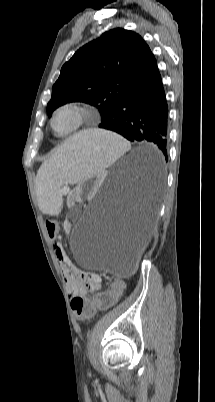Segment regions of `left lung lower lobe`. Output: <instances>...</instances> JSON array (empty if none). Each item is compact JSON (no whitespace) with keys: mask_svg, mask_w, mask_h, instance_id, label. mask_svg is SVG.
Here are the masks:
<instances>
[{"mask_svg":"<svg viewBox=\"0 0 215 402\" xmlns=\"http://www.w3.org/2000/svg\"><path fill=\"white\" fill-rule=\"evenodd\" d=\"M168 106L157 64L130 90L111 117L99 127L114 131L131 142L156 145L167 160ZM145 192L151 207L156 204V185Z\"/></svg>","mask_w":215,"mask_h":402,"instance_id":"1","label":"left lung lower lobe"}]
</instances>
